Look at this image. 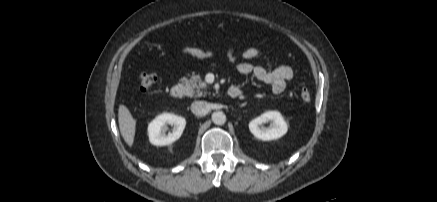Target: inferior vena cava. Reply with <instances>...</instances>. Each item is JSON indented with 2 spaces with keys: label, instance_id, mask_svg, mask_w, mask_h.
<instances>
[{
  "label": "inferior vena cava",
  "instance_id": "602c4592",
  "mask_svg": "<svg viewBox=\"0 0 437 202\" xmlns=\"http://www.w3.org/2000/svg\"><path fill=\"white\" fill-rule=\"evenodd\" d=\"M191 111L196 116H205L209 112V104L205 101H195L191 104Z\"/></svg>",
  "mask_w": 437,
  "mask_h": 202
}]
</instances>
